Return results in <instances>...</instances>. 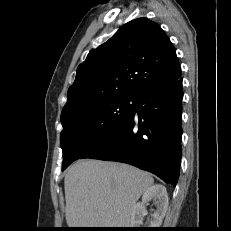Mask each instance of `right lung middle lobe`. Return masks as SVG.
Returning a JSON list of instances; mask_svg holds the SVG:
<instances>
[{
	"mask_svg": "<svg viewBox=\"0 0 231 231\" xmlns=\"http://www.w3.org/2000/svg\"><path fill=\"white\" fill-rule=\"evenodd\" d=\"M135 99L118 97L61 116L62 170L121 128L135 111Z\"/></svg>",
	"mask_w": 231,
	"mask_h": 231,
	"instance_id": "dd1d6c3e",
	"label": "right lung middle lobe"
}]
</instances>
